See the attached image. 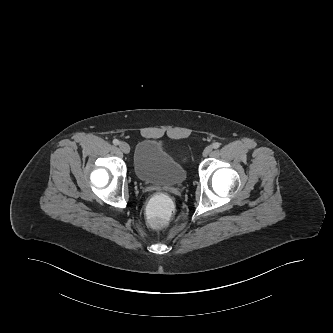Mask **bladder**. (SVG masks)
<instances>
[{"mask_svg": "<svg viewBox=\"0 0 333 333\" xmlns=\"http://www.w3.org/2000/svg\"><path fill=\"white\" fill-rule=\"evenodd\" d=\"M134 172L139 180L160 186H179L186 180L187 170L158 142L145 139L134 152Z\"/></svg>", "mask_w": 333, "mask_h": 333, "instance_id": "obj_1", "label": "bladder"}]
</instances>
